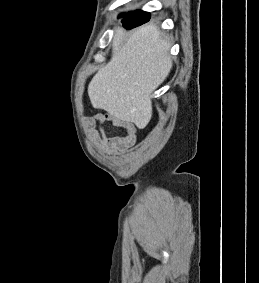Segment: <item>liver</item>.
Returning <instances> with one entry per match:
<instances>
[{
    "label": "liver",
    "mask_w": 259,
    "mask_h": 283,
    "mask_svg": "<svg viewBox=\"0 0 259 283\" xmlns=\"http://www.w3.org/2000/svg\"><path fill=\"white\" fill-rule=\"evenodd\" d=\"M124 38L125 31L117 28L112 58L91 80L88 95L94 108L144 129L152 117V93L172 69L170 44L154 25Z\"/></svg>",
    "instance_id": "obj_1"
}]
</instances>
